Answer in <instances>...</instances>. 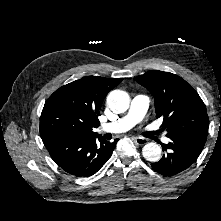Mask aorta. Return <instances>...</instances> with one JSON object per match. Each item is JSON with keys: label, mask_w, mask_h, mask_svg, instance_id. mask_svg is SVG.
Returning a JSON list of instances; mask_svg holds the SVG:
<instances>
[{"label": "aorta", "mask_w": 221, "mask_h": 221, "mask_svg": "<svg viewBox=\"0 0 221 221\" xmlns=\"http://www.w3.org/2000/svg\"><path fill=\"white\" fill-rule=\"evenodd\" d=\"M130 97L127 92L113 90L107 96V105L115 113H123L129 108ZM143 157L150 162H158L161 158V148L158 144L150 142L142 149Z\"/></svg>", "instance_id": "1"}]
</instances>
